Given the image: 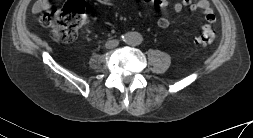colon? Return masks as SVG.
<instances>
[{
	"label": "colon",
	"instance_id": "obj_1",
	"mask_svg": "<svg viewBox=\"0 0 253 138\" xmlns=\"http://www.w3.org/2000/svg\"><path fill=\"white\" fill-rule=\"evenodd\" d=\"M87 16L88 10L83 0H69L59 9L42 12L40 22L51 28L55 41L68 43L85 23ZM214 40L215 33L211 29H206L196 37L195 42L200 46H207Z\"/></svg>",
	"mask_w": 253,
	"mask_h": 138
}]
</instances>
